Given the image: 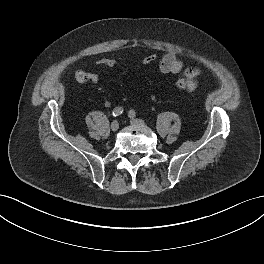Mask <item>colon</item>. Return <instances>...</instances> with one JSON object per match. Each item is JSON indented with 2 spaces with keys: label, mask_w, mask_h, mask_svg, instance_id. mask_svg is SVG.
<instances>
[{
  "label": "colon",
  "mask_w": 264,
  "mask_h": 264,
  "mask_svg": "<svg viewBox=\"0 0 264 264\" xmlns=\"http://www.w3.org/2000/svg\"><path fill=\"white\" fill-rule=\"evenodd\" d=\"M156 58L157 56L154 53L147 54L145 57H143L142 63L145 65L151 64L152 62L156 60ZM115 62H116L115 58L112 56L104 57L101 60V63L107 67H112L115 64ZM175 86L179 90L192 91L195 89L196 84L192 79H190L185 74V77L179 78L178 80H176Z\"/></svg>",
  "instance_id": "5ec220e1"
}]
</instances>
